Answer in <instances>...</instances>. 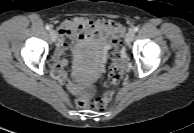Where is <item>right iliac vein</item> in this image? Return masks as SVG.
Wrapping results in <instances>:
<instances>
[{
    "instance_id": "63e3f726",
    "label": "right iliac vein",
    "mask_w": 194,
    "mask_h": 133,
    "mask_svg": "<svg viewBox=\"0 0 194 133\" xmlns=\"http://www.w3.org/2000/svg\"><path fill=\"white\" fill-rule=\"evenodd\" d=\"M50 38H51L52 42H55L56 39H57V33H56V31L53 30V29L50 30Z\"/></svg>"
}]
</instances>
